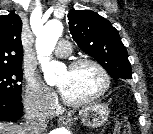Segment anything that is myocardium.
<instances>
[{
	"label": "myocardium",
	"mask_w": 153,
	"mask_h": 134,
	"mask_svg": "<svg viewBox=\"0 0 153 134\" xmlns=\"http://www.w3.org/2000/svg\"><path fill=\"white\" fill-rule=\"evenodd\" d=\"M84 64H89L95 67L98 72L100 73L102 80H103V85L100 88L99 91L94 93L93 95L80 99V100H72L67 98L62 92H61V98L64 104L72 107H79L85 104H88L92 101H95L96 99L100 98L103 96L110 88L111 85V78L105 67L97 60L90 58V57H84V58H79L76 60H73L72 62L69 63L68 69L73 70L81 65Z\"/></svg>",
	"instance_id": "obj_1"
}]
</instances>
